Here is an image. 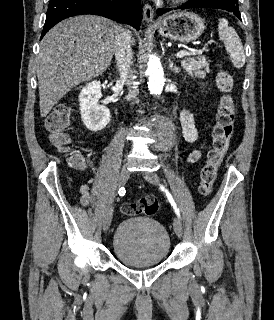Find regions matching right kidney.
<instances>
[{"label":"right kidney","instance_id":"obj_1","mask_svg":"<svg viewBox=\"0 0 274 320\" xmlns=\"http://www.w3.org/2000/svg\"><path fill=\"white\" fill-rule=\"evenodd\" d=\"M101 96V82L98 80L86 84L79 94L81 120L90 132L104 130L111 120L110 110L98 104Z\"/></svg>","mask_w":274,"mask_h":320}]
</instances>
